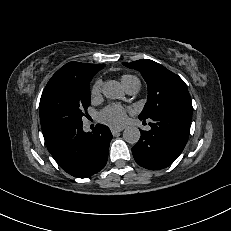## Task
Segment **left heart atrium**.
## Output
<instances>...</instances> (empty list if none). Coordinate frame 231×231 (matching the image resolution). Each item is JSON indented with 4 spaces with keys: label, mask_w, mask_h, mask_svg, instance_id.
<instances>
[{
    "label": "left heart atrium",
    "mask_w": 231,
    "mask_h": 231,
    "mask_svg": "<svg viewBox=\"0 0 231 231\" xmlns=\"http://www.w3.org/2000/svg\"><path fill=\"white\" fill-rule=\"evenodd\" d=\"M99 118L103 123L111 127H121L127 121V112L122 106L112 104L100 112Z\"/></svg>",
    "instance_id": "left-heart-atrium-1"
}]
</instances>
